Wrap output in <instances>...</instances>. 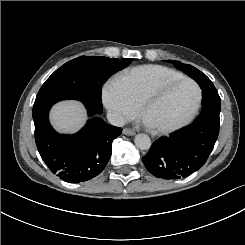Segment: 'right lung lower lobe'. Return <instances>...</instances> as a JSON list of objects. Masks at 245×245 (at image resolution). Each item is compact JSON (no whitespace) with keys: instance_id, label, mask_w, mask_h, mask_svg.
<instances>
[{"instance_id":"1","label":"right lung lower lobe","mask_w":245,"mask_h":245,"mask_svg":"<svg viewBox=\"0 0 245 245\" xmlns=\"http://www.w3.org/2000/svg\"><path fill=\"white\" fill-rule=\"evenodd\" d=\"M61 99L34 103L33 120L38 151L48 168L62 180L78 183L96 177L105 168L112 152V141L122 129L93 116L77 134L60 135L48 120L51 106Z\"/></svg>"}]
</instances>
